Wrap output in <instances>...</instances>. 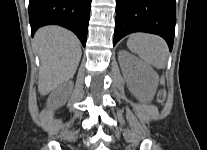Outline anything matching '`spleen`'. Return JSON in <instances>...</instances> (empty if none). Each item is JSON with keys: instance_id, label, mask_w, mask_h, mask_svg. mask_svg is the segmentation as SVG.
I'll list each match as a JSON object with an SVG mask.
<instances>
[{"instance_id": "spleen-1", "label": "spleen", "mask_w": 207, "mask_h": 150, "mask_svg": "<svg viewBox=\"0 0 207 150\" xmlns=\"http://www.w3.org/2000/svg\"><path fill=\"white\" fill-rule=\"evenodd\" d=\"M127 46L131 52L137 54L146 64L158 69L166 67L168 46L161 37L136 33L130 36Z\"/></svg>"}]
</instances>
